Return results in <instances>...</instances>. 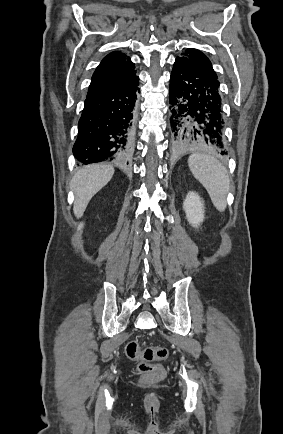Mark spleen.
Returning <instances> with one entry per match:
<instances>
[{
    "label": "spleen",
    "mask_w": 283,
    "mask_h": 434,
    "mask_svg": "<svg viewBox=\"0 0 283 434\" xmlns=\"http://www.w3.org/2000/svg\"><path fill=\"white\" fill-rule=\"evenodd\" d=\"M189 168L194 177L206 188L214 206L223 212L227 206L229 176L226 168L214 157L194 153L188 158Z\"/></svg>",
    "instance_id": "spleen-1"
}]
</instances>
